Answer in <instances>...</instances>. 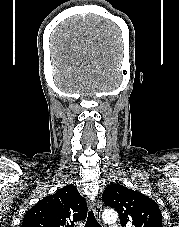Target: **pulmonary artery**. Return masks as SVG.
Wrapping results in <instances>:
<instances>
[{"mask_svg": "<svg viewBox=\"0 0 179 227\" xmlns=\"http://www.w3.org/2000/svg\"><path fill=\"white\" fill-rule=\"evenodd\" d=\"M110 227H120L119 224H112Z\"/></svg>", "mask_w": 179, "mask_h": 227, "instance_id": "e3ab8cb5", "label": "pulmonary artery"}]
</instances>
